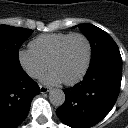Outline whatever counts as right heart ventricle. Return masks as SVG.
I'll list each match as a JSON object with an SVG mask.
<instances>
[{"mask_svg":"<svg viewBox=\"0 0 128 128\" xmlns=\"http://www.w3.org/2000/svg\"><path fill=\"white\" fill-rule=\"evenodd\" d=\"M70 34L71 33H50L40 35L30 42V48L48 64L60 43Z\"/></svg>","mask_w":128,"mask_h":128,"instance_id":"e07e8e85","label":"right heart ventricle"}]
</instances>
